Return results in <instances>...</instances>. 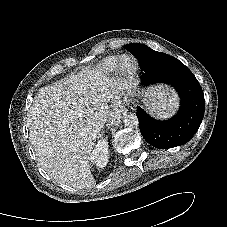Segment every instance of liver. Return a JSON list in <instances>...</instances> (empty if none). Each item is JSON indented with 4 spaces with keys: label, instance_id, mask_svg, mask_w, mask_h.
<instances>
[{
    "label": "liver",
    "instance_id": "obj_1",
    "mask_svg": "<svg viewBox=\"0 0 227 227\" xmlns=\"http://www.w3.org/2000/svg\"><path fill=\"white\" fill-rule=\"evenodd\" d=\"M116 85L96 68L85 69L34 97L27 114L30 141L41 167L57 182L76 189L95 186L90 156L110 115L108 102L117 97Z\"/></svg>",
    "mask_w": 227,
    "mask_h": 227
}]
</instances>
